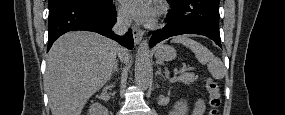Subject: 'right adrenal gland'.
Segmentation results:
<instances>
[{"label":"right adrenal gland","instance_id":"2a0ac1e0","mask_svg":"<svg viewBox=\"0 0 285 115\" xmlns=\"http://www.w3.org/2000/svg\"><path fill=\"white\" fill-rule=\"evenodd\" d=\"M115 72H118V62H115L113 71H112V73H111V75H110V77H109L108 80L111 79L112 75H113Z\"/></svg>","mask_w":285,"mask_h":115}]
</instances>
